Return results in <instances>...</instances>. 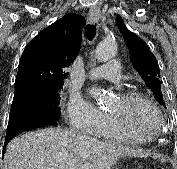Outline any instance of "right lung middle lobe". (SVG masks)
<instances>
[{
    "label": "right lung middle lobe",
    "instance_id": "obj_1",
    "mask_svg": "<svg viewBox=\"0 0 177 169\" xmlns=\"http://www.w3.org/2000/svg\"><path fill=\"white\" fill-rule=\"evenodd\" d=\"M60 90L62 86L42 87L30 85L14 94L11 111H43L60 116Z\"/></svg>",
    "mask_w": 177,
    "mask_h": 169
}]
</instances>
